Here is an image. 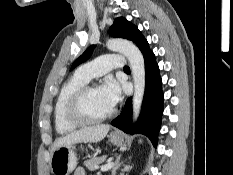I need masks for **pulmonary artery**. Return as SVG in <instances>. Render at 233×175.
<instances>
[{"instance_id": "1", "label": "pulmonary artery", "mask_w": 233, "mask_h": 175, "mask_svg": "<svg viewBox=\"0 0 233 175\" xmlns=\"http://www.w3.org/2000/svg\"><path fill=\"white\" fill-rule=\"evenodd\" d=\"M126 65V58L119 54H105L92 61L81 65L76 75L89 81L99 77L113 69H123Z\"/></svg>"}]
</instances>
